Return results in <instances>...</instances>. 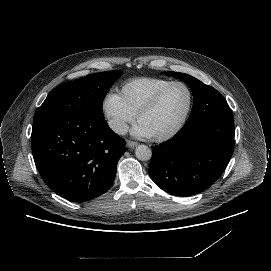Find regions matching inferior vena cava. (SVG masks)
Listing matches in <instances>:
<instances>
[{"mask_svg":"<svg viewBox=\"0 0 271 271\" xmlns=\"http://www.w3.org/2000/svg\"><path fill=\"white\" fill-rule=\"evenodd\" d=\"M109 127L119 135H125L128 132V125L122 120H110Z\"/></svg>","mask_w":271,"mask_h":271,"instance_id":"inferior-vena-cava-1","label":"inferior vena cava"}]
</instances>
